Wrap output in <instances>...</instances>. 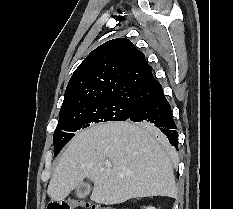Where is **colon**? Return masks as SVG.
<instances>
[{
	"mask_svg": "<svg viewBox=\"0 0 233 209\" xmlns=\"http://www.w3.org/2000/svg\"><path fill=\"white\" fill-rule=\"evenodd\" d=\"M118 209L112 206L100 205V204H90L88 202L82 201L80 199H67L61 201H53L48 204L47 209Z\"/></svg>",
	"mask_w": 233,
	"mask_h": 209,
	"instance_id": "5ec220e1",
	"label": "colon"
}]
</instances>
